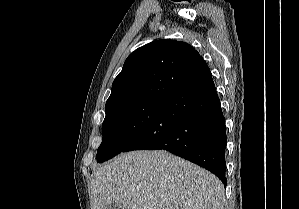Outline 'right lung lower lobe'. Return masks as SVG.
<instances>
[{"mask_svg":"<svg viewBox=\"0 0 299 209\" xmlns=\"http://www.w3.org/2000/svg\"><path fill=\"white\" fill-rule=\"evenodd\" d=\"M225 118L210 70L189 79L163 102L122 152L164 149L215 174L226 187Z\"/></svg>","mask_w":299,"mask_h":209,"instance_id":"98d812e1","label":"right lung lower lobe"}]
</instances>
